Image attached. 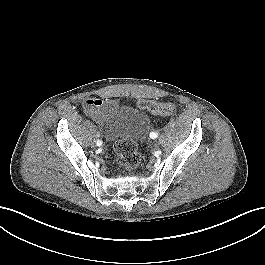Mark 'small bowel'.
<instances>
[{
	"label": "small bowel",
	"mask_w": 265,
	"mask_h": 265,
	"mask_svg": "<svg viewBox=\"0 0 265 265\" xmlns=\"http://www.w3.org/2000/svg\"><path fill=\"white\" fill-rule=\"evenodd\" d=\"M113 106V101H104L95 97L86 98L83 102L85 113L99 124L103 122L105 112L109 111Z\"/></svg>",
	"instance_id": "1"
}]
</instances>
